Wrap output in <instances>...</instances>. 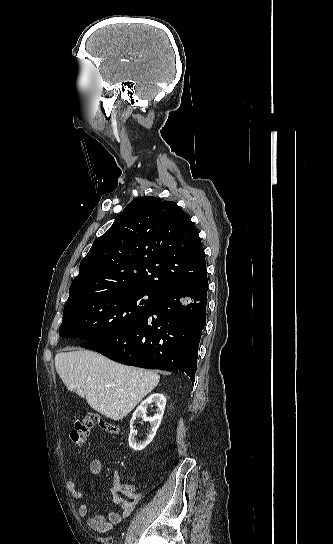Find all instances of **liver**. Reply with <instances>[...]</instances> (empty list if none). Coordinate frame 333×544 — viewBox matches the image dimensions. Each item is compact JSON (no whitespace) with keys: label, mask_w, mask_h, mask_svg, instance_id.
Returning a JSON list of instances; mask_svg holds the SVG:
<instances>
[{"label":"liver","mask_w":333,"mask_h":544,"mask_svg":"<svg viewBox=\"0 0 333 544\" xmlns=\"http://www.w3.org/2000/svg\"><path fill=\"white\" fill-rule=\"evenodd\" d=\"M55 368L69 391L116 421L127 416L160 380L155 372L116 363L90 350L58 353Z\"/></svg>","instance_id":"obj_1"}]
</instances>
